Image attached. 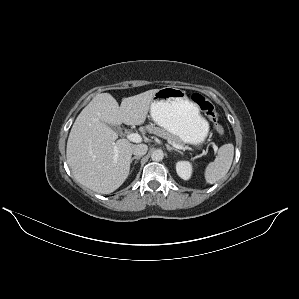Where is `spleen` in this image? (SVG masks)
<instances>
[{"label": "spleen", "instance_id": "1", "mask_svg": "<svg viewBox=\"0 0 299 299\" xmlns=\"http://www.w3.org/2000/svg\"><path fill=\"white\" fill-rule=\"evenodd\" d=\"M234 156L233 144H224L218 150V156L214 162L205 169V180L208 184H214L222 179L229 171Z\"/></svg>", "mask_w": 299, "mask_h": 299}]
</instances>
